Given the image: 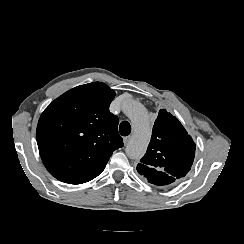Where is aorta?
I'll return each instance as SVG.
<instances>
[{
    "instance_id": "obj_1",
    "label": "aorta",
    "mask_w": 244,
    "mask_h": 244,
    "mask_svg": "<svg viewBox=\"0 0 244 244\" xmlns=\"http://www.w3.org/2000/svg\"><path fill=\"white\" fill-rule=\"evenodd\" d=\"M123 110L134 128L125 152L130 159H140L147 149L151 136L148 113L144 106L136 101H127Z\"/></svg>"
}]
</instances>
